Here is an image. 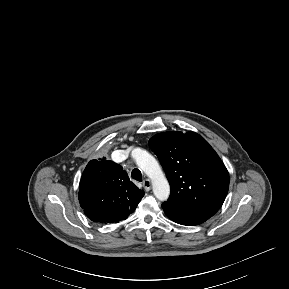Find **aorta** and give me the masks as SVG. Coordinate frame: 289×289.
Returning a JSON list of instances; mask_svg holds the SVG:
<instances>
[{"mask_svg":"<svg viewBox=\"0 0 289 289\" xmlns=\"http://www.w3.org/2000/svg\"><path fill=\"white\" fill-rule=\"evenodd\" d=\"M136 164L151 179L155 197L165 201L170 195L169 183L156 159L146 150L136 148L132 151Z\"/></svg>","mask_w":289,"mask_h":289,"instance_id":"aorta-1","label":"aorta"}]
</instances>
